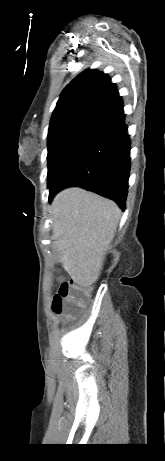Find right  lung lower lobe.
I'll list each match as a JSON object with an SVG mask.
<instances>
[{"label": "right lung lower lobe", "instance_id": "right-lung-lower-lobe-1", "mask_svg": "<svg viewBox=\"0 0 165 461\" xmlns=\"http://www.w3.org/2000/svg\"><path fill=\"white\" fill-rule=\"evenodd\" d=\"M124 112L106 121L77 150L48 186L49 202L60 190L79 186L125 208L130 141Z\"/></svg>", "mask_w": 165, "mask_h": 461}]
</instances>
